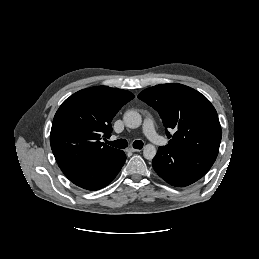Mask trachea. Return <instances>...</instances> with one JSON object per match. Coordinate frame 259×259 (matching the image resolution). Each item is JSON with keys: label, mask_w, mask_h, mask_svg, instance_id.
<instances>
[{"label": "trachea", "mask_w": 259, "mask_h": 259, "mask_svg": "<svg viewBox=\"0 0 259 259\" xmlns=\"http://www.w3.org/2000/svg\"><path fill=\"white\" fill-rule=\"evenodd\" d=\"M107 143L113 147L120 148V149L126 148L128 146V142L125 139H119V140L110 141ZM133 147L135 149H142L143 142L140 140H136L133 142Z\"/></svg>", "instance_id": "obj_1"}]
</instances>
